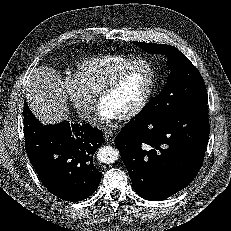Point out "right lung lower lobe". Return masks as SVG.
I'll use <instances>...</instances> for the list:
<instances>
[{
  "label": "right lung lower lobe",
  "mask_w": 231,
  "mask_h": 231,
  "mask_svg": "<svg viewBox=\"0 0 231 231\" xmlns=\"http://www.w3.org/2000/svg\"><path fill=\"white\" fill-rule=\"evenodd\" d=\"M23 115L27 155L49 192L70 202L92 195L101 180L92 160L103 133L89 124L66 121L44 126L25 101Z\"/></svg>",
  "instance_id": "98d812e1"
}]
</instances>
